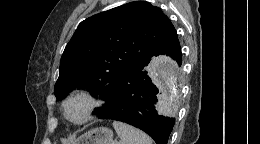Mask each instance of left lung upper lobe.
Segmentation results:
<instances>
[{
    "instance_id": "1",
    "label": "left lung upper lobe",
    "mask_w": 260,
    "mask_h": 144,
    "mask_svg": "<svg viewBox=\"0 0 260 144\" xmlns=\"http://www.w3.org/2000/svg\"><path fill=\"white\" fill-rule=\"evenodd\" d=\"M176 37L169 18L145 1L93 15L78 25L66 45L54 94L59 99L74 85L85 84L92 96L105 101L96 109L99 116L109 107L125 72L150 59Z\"/></svg>"
}]
</instances>
